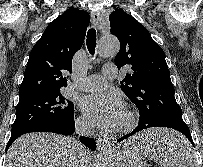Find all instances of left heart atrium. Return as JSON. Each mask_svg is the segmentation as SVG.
I'll use <instances>...</instances> for the list:
<instances>
[{
	"mask_svg": "<svg viewBox=\"0 0 203 167\" xmlns=\"http://www.w3.org/2000/svg\"><path fill=\"white\" fill-rule=\"evenodd\" d=\"M81 107L97 126L110 129L118 126L124 116L123 103L114 93H95L83 98Z\"/></svg>",
	"mask_w": 203,
	"mask_h": 167,
	"instance_id": "39dd6f15",
	"label": "left heart atrium"
}]
</instances>
